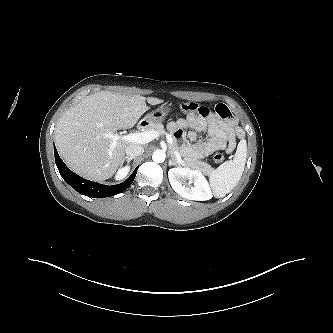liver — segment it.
I'll use <instances>...</instances> for the list:
<instances>
[{"mask_svg":"<svg viewBox=\"0 0 333 333\" xmlns=\"http://www.w3.org/2000/svg\"><path fill=\"white\" fill-rule=\"evenodd\" d=\"M150 105L161 99L102 91L89 95L68 109L55 127L56 147L67 166L84 178L103 181L122 165L125 149L132 143L104 133L132 128Z\"/></svg>","mask_w":333,"mask_h":333,"instance_id":"liver-1","label":"liver"}]
</instances>
